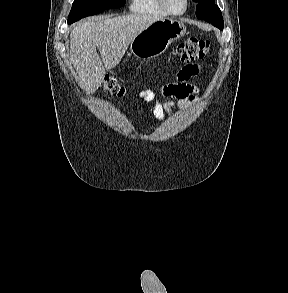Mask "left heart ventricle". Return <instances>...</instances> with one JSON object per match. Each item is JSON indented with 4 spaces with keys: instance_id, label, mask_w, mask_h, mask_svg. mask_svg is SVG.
Segmentation results:
<instances>
[{
    "instance_id": "left-heart-ventricle-1",
    "label": "left heart ventricle",
    "mask_w": 288,
    "mask_h": 293,
    "mask_svg": "<svg viewBox=\"0 0 288 293\" xmlns=\"http://www.w3.org/2000/svg\"><path fill=\"white\" fill-rule=\"evenodd\" d=\"M166 2L170 9L175 12H180L185 7V0H166Z\"/></svg>"
}]
</instances>
